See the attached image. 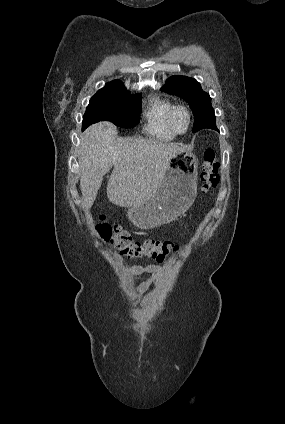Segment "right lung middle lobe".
Segmentation results:
<instances>
[{
  "instance_id": "obj_1",
  "label": "right lung middle lobe",
  "mask_w": 285,
  "mask_h": 424,
  "mask_svg": "<svg viewBox=\"0 0 285 424\" xmlns=\"http://www.w3.org/2000/svg\"><path fill=\"white\" fill-rule=\"evenodd\" d=\"M141 94L129 95L126 89L98 91L83 116L82 130L99 121H110L122 128L139 123Z\"/></svg>"
}]
</instances>
